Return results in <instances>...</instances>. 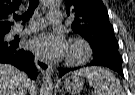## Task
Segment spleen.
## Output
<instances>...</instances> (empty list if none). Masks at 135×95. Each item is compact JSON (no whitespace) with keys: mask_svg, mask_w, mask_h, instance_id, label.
Instances as JSON below:
<instances>
[{"mask_svg":"<svg viewBox=\"0 0 135 95\" xmlns=\"http://www.w3.org/2000/svg\"><path fill=\"white\" fill-rule=\"evenodd\" d=\"M86 77L96 95H125L120 81L108 70L101 67H86L75 72Z\"/></svg>","mask_w":135,"mask_h":95,"instance_id":"obj_1","label":"spleen"}]
</instances>
